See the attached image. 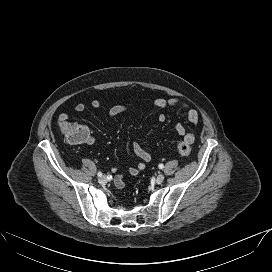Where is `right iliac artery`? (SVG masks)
I'll use <instances>...</instances> for the list:
<instances>
[{
    "mask_svg": "<svg viewBox=\"0 0 272 272\" xmlns=\"http://www.w3.org/2000/svg\"><path fill=\"white\" fill-rule=\"evenodd\" d=\"M97 175H98L99 177H101V176H102V173H101V172H98Z\"/></svg>",
    "mask_w": 272,
    "mask_h": 272,
    "instance_id": "obj_1",
    "label": "right iliac artery"
}]
</instances>
